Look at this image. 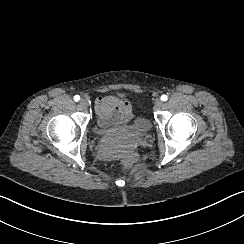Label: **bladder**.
Returning <instances> with one entry per match:
<instances>
[{"instance_id": "bladder-1", "label": "bladder", "mask_w": 244, "mask_h": 244, "mask_svg": "<svg viewBox=\"0 0 244 244\" xmlns=\"http://www.w3.org/2000/svg\"><path fill=\"white\" fill-rule=\"evenodd\" d=\"M122 129L128 133H135L138 136H146L151 131V124L148 118L138 117L129 127Z\"/></svg>"}]
</instances>
